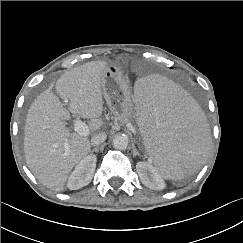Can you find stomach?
Listing matches in <instances>:
<instances>
[{
  "instance_id": "0dacf381",
  "label": "stomach",
  "mask_w": 243,
  "mask_h": 243,
  "mask_svg": "<svg viewBox=\"0 0 243 243\" xmlns=\"http://www.w3.org/2000/svg\"><path fill=\"white\" fill-rule=\"evenodd\" d=\"M102 91L111 113L121 123L134 117L131 87L118 67L109 65L106 68L102 77Z\"/></svg>"
}]
</instances>
